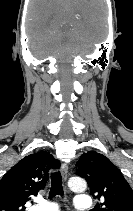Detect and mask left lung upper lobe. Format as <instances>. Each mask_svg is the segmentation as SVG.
I'll return each mask as SVG.
<instances>
[{"label": "left lung upper lobe", "instance_id": "left-lung-upper-lobe-1", "mask_svg": "<svg viewBox=\"0 0 133 211\" xmlns=\"http://www.w3.org/2000/svg\"><path fill=\"white\" fill-rule=\"evenodd\" d=\"M77 170L87 180L93 197L100 200L93 211H133V190L107 157L94 151L84 153Z\"/></svg>", "mask_w": 133, "mask_h": 211}]
</instances>
